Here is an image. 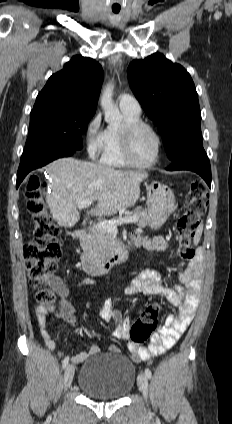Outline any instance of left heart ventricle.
I'll return each mask as SVG.
<instances>
[{
	"instance_id": "obj_1",
	"label": "left heart ventricle",
	"mask_w": 232,
	"mask_h": 424,
	"mask_svg": "<svg viewBox=\"0 0 232 424\" xmlns=\"http://www.w3.org/2000/svg\"><path fill=\"white\" fill-rule=\"evenodd\" d=\"M156 148L157 142L154 135L147 129H141L132 140V158L138 163H147L154 158Z\"/></svg>"
}]
</instances>
